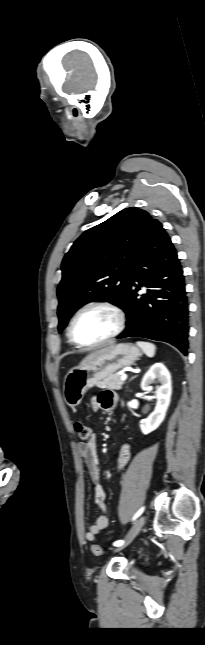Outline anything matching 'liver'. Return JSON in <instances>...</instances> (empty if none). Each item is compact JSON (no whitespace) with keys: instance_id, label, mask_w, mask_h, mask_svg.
Wrapping results in <instances>:
<instances>
[{"instance_id":"liver-1","label":"liver","mask_w":205,"mask_h":645,"mask_svg":"<svg viewBox=\"0 0 205 645\" xmlns=\"http://www.w3.org/2000/svg\"><path fill=\"white\" fill-rule=\"evenodd\" d=\"M114 346H115V345H114V343H111L109 346H107V347H105V348H102V349H100V350H98V351H95V352L91 353V354H90V355H88L86 358H84V360L81 362L80 366H82L83 364L87 363L88 361H90V360H92V359L96 358L97 356L102 355V354H104V353H106V352L110 351L112 348H114Z\"/></svg>"}]
</instances>
